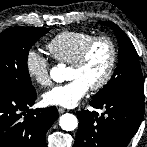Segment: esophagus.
Listing matches in <instances>:
<instances>
[{
  "instance_id": "obj_1",
  "label": "esophagus",
  "mask_w": 147,
  "mask_h": 147,
  "mask_svg": "<svg viewBox=\"0 0 147 147\" xmlns=\"http://www.w3.org/2000/svg\"><path fill=\"white\" fill-rule=\"evenodd\" d=\"M58 112H59L60 114H62V113H64V112H66V109H64V108H62V107H59V108H58Z\"/></svg>"
}]
</instances>
